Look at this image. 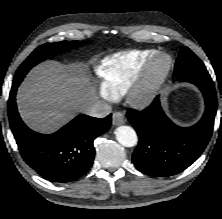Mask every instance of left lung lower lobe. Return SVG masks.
Instances as JSON below:
<instances>
[{
  "instance_id": "left-lung-lower-lobe-1",
  "label": "left lung lower lobe",
  "mask_w": 222,
  "mask_h": 219,
  "mask_svg": "<svg viewBox=\"0 0 222 219\" xmlns=\"http://www.w3.org/2000/svg\"><path fill=\"white\" fill-rule=\"evenodd\" d=\"M197 85L205 98L206 110L195 125L182 128L163 112L159 96L142 111L129 109L128 120L139 136L132 162L153 177L171 176L190 166L204 151L213 131L217 96L213 86Z\"/></svg>"
}]
</instances>
